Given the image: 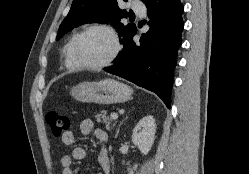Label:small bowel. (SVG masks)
Instances as JSON below:
<instances>
[{
	"label": "small bowel",
	"instance_id": "obj_1",
	"mask_svg": "<svg viewBox=\"0 0 249 174\" xmlns=\"http://www.w3.org/2000/svg\"><path fill=\"white\" fill-rule=\"evenodd\" d=\"M80 131L84 135H88L94 132L95 137L100 143H104L107 140L106 133L101 129H95L94 123L90 119H85L80 124ZM62 143L66 146H73L76 142V138L71 131L66 132L61 137ZM88 152L83 147H75L70 155H64L61 157L60 164L62 166V174H80V171L76 168H72L73 160H83L87 157ZM98 164L101 169L99 174H109L110 172V159L107 151L101 148L98 154Z\"/></svg>",
	"mask_w": 249,
	"mask_h": 174
}]
</instances>
